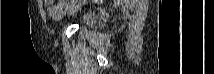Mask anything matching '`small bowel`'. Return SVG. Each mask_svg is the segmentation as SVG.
I'll return each mask as SVG.
<instances>
[{
  "label": "small bowel",
  "instance_id": "c3829d8e",
  "mask_svg": "<svg viewBox=\"0 0 214 74\" xmlns=\"http://www.w3.org/2000/svg\"><path fill=\"white\" fill-rule=\"evenodd\" d=\"M47 12L49 13V15H51L52 17L58 18L60 16H62L63 14V5H47Z\"/></svg>",
  "mask_w": 214,
  "mask_h": 74
}]
</instances>
